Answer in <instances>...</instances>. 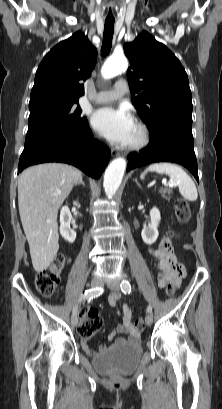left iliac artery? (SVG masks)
I'll return each instance as SVG.
<instances>
[{
    "instance_id": "obj_1",
    "label": "left iliac artery",
    "mask_w": 222,
    "mask_h": 409,
    "mask_svg": "<svg viewBox=\"0 0 222 409\" xmlns=\"http://www.w3.org/2000/svg\"><path fill=\"white\" fill-rule=\"evenodd\" d=\"M120 287H121V291H122L124 294H129V293L131 292V285H130L129 281H127V280H123V281L121 282ZM147 312H148V313H151V312H152V307H151L150 305L147 307Z\"/></svg>"
}]
</instances>
